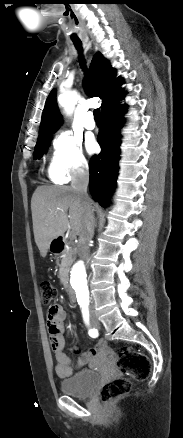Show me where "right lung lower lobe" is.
Returning <instances> with one entry per match:
<instances>
[{
  "label": "right lung lower lobe",
  "mask_w": 183,
  "mask_h": 438,
  "mask_svg": "<svg viewBox=\"0 0 183 438\" xmlns=\"http://www.w3.org/2000/svg\"><path fill=\"white\" fill-rule=\"evenodd\" d=\"M126 106L119 102L102 112V127L97 141L102 150L89 164V187L95 201L105 205L114 189L119 169L121 135Z\"/></svg>",
  "instance_id": "1"
}]
</instances>
